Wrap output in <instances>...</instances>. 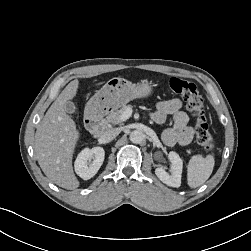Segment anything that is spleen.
I'll list each match as a JSON object with an SVG mask.
<instances>
[{"label":"spleen","mask_w":251,"mask_h":251,"mask_svg":"<svg viewBox=\"0 0 251 251\" xmlns=\"http://www.w3.org/2000/svg\"><path fill=\"white\" fill-rule=\"evenodd\" d=\"M214 163L212 155H208L205 158L201 155L193 156L187 168L188 185L191 188H196L204 184L213 171Z\"/></svg>","instance_id":"obj_1"}]
</instances>
